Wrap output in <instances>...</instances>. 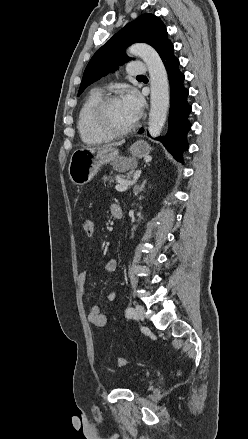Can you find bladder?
<instances>
[{
  "label": "bladder",
  "mask_w": 248,
  "mask_h": 439,
  "mask_svg": "<svg viewBox=\"0 0 248 439\" xmlns=\"http://www.w3.org/2000/svg\"><path fill=\"white\" fill-rule=\"evenodd\" d=\"M146 379H147V376H146V375L141 376V377L138 379L137 384H141V383L145 382Z\"/></svg>",
  "instance_id": "bladder-1"
}]
</instances>
